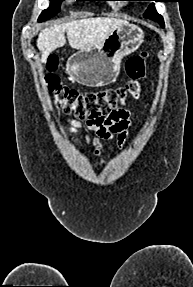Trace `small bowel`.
Returning a JSON list of instances; mask_svg holds the SVG:
<instances>
[{"instance_id": "c3829d8e", "label": "small bowel", "mask_w": 193, "mask_h": 287, "mask_svg": "<svg viewBox=\"0 0 193 287\" xmlns=\"http://www.w3.org/2000/svg\"><path fill=\"white\" fill-rule=\"evenodd\" d=\"M129 117L130 112L127 109L120 108L114 110L102 121L87 120V123H84L79 118L72 116L64 117L63 120L77 128L86 126V153L91 151L95 156H101L103 153L102 140L115 138L119 146L124 144L131 128Z\"/></svg>"}]
</instances>
